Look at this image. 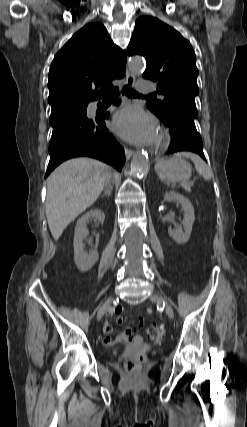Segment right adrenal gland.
I'll list each match as a JSON object with an SVG mask.
<instances>
[{
    "mask_svg": "<svg viewBox=\"0 0 247 427\" xmlns=\"http://www.w3.org/2000/svg\"><path fill=\"white\" fill-rule=\"evenodd\" d=\"M111 193H112V186H109L107 189H105L104 193L102 194V197L110 196Z\"/></svg>",
    "mask_w": 247,
    "mask_h": 427,
    "instance_id": "obj_1",
    "label": "right adrenal gland"
}]
</instances>
